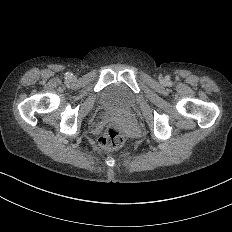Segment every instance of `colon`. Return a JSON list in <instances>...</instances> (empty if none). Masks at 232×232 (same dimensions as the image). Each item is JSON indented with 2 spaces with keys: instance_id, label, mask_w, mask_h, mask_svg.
Listing matches in <instances>:
<instances>
[{
  "instance_id": "1",
  "label": "colon",
  "mask_w": 232,
  "mask_h": 232,
  "mask_svg": "<svg viewBox=\"0 0 232 232\" xmlns=\"http://www.w3.org/2000/svg\"><path fill=\"white\" fill-rule=\"evenodd\" d=\"M126 140V126L119 120H112L101 135V149H115V145H122Z\"/></svg>"
}]
</instances>
